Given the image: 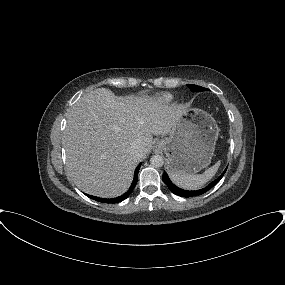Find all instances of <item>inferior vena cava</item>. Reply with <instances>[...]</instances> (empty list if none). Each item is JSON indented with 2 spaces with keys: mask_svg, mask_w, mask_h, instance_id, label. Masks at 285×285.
I'll use <instances>...</instances> for the list:
<instances>
[{
  "mask_svg": "<svg viewBox=\"0 0 285 285\" xmlns=\"http://www.w3.org/2000/svg\"><path fill=\"white\" fill-rule=\"evenodd\" d=\"M141 146L137 143H133L130 147V152L133 156L138 157L141 153Z\"/></svg>",
  "mask_w": 285,
  "mask_h": 285,
  "instance_id": "1",
  "label": "inferior vena cava"
}]
</instances>
